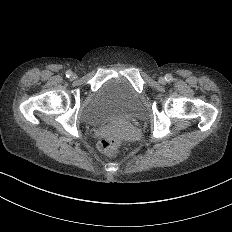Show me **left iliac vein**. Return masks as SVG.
Returning a JSON list of instances; mask_svg holds the SVG:
<instances>
[{
  "label": "left iliac vein",
  "instance_id": "1",
  "mask_svg": "<svg viewBox=\"0 0 232 232\" xmlns=\"http://www.w3.org/2000/svg\"><path fill=\"white\" fill-rule=\"evenodd\" d=\"M159 82H160L161 84H164V83L166 82V79H165L164 77H161V78L159 79Z\"/></svg>",
  "mask_w": 232,
  "mask_h": 232
}]
</instances>
